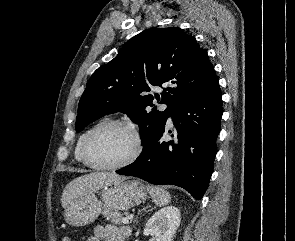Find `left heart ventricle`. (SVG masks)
I'll list each match as a JSON object with an SVG mask.
<instances>
[{"instance_id":"1","label":"left heart ventricle","mask_w":295,"mask_h":241,"mask_svg":"<svg viewBox=\"0 0 295 241\" xmlns=\"http://www.w3.org/2000/svg\"><path fill=\"white\" fill-rule=\"evenodd\" d=\"M133 135L121 127L101 132L92 142L90 155L99 164L111 165L126 160L134 151Z\"/></svg>"}]
</instances>
